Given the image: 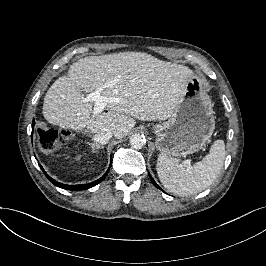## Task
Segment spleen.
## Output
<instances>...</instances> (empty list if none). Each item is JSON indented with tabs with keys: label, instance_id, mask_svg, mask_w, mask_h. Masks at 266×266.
<instances>
[{
	"label": "spleen",
	"instance_id": "3e777b00",
	"mask_svg": "<svg viewBox=\"0 0 266 266\" xmlns=\"http://www.w3.org/2000/svg\"><path fill=\"white\" fill-rule=\"evenodd\" d=\"M226 156L223 140L214 141L202 161L186 168L177 159L160 154L157 160V173L163 186L179 196H189L202 192L218 177Z\"/></svg>",
	"mask_w": 266,
	"mask_h": 266
}]
</instances>
